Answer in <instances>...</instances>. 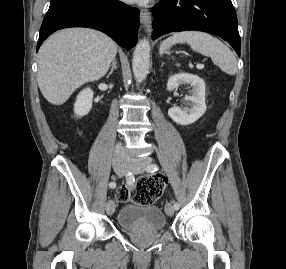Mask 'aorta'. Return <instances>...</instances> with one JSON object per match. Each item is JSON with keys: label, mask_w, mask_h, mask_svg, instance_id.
<instances>
[{"label": "aorta", "mask_w": 286, "mask_h": 269, "mask_svg": "<svg viewBox=\"0 0 286 269\" xmlns=\"http://www.w3.org/2000/svg\"><path fill=\"white\" fill-rule=\"evenodd\" d=\"M150 62V43L144 38L138 42L133 53L132 68L138 81L145 79Z\"/></svg>", "instance_id": "obj_1"}]
</instances>
